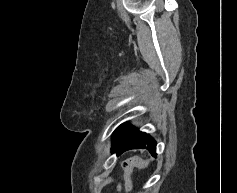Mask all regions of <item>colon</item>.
Segmentation results:
<instances>
[{
  "label": "colon",
  "mask_w": 237,
  "mask_h": 193,
  "mask_svg": "<svg viewBox=\"0 0 237 193\" xmlns=\"http://www.w3.org/2000/svg\"><path fill=\"white\" fill-rule=\"evenodd\" d=\"M148 166V160L142 157H133L122 163L126 179V188L130 190L132 188V173L135 169H145Z\"/></svg>",
  "instance_id": "colon-1"
}]
</instances>
